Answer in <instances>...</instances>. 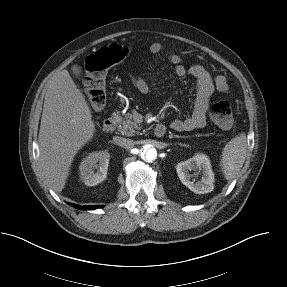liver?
<instances>
[{
  "label": "liver",
  "mask_w": 287,
  "mask_h": 287,
  "mask_svg": "<svg viewBox=\"0 0 287 287\" xmlns=\"http://www.w3.org/2000/svg\"><path fill=\"white\" fill-rule=\"evenodd\" d=\"M94 133L85 96L64 69L48 83L38 136L42 172L56 192L64 189L74 157Z\"/></svg>",
  "instance_id": "liver-1"
}]
</instances>
